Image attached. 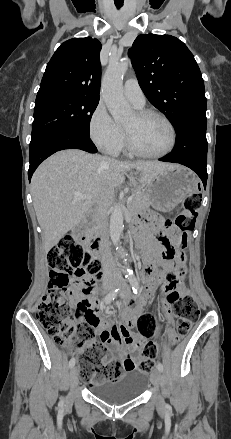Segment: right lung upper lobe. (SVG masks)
Masks as SVG:
<instances>
[{
	"label": "right lung upper lobe",
	"instance_id": "right-lung-upper-lobe-1",
	"mask_svg": "<svg viewBox=\"0 0 231 439\" xmlns=\"http://www.w3.org/2000/svg\"><path fill=\"white\" fill-rule=\"evenodd\" d=\"M101 43L91 37L62 43L47 64L36 100L54 95L99 99Z\"/></svg>",
	"mask_w": 231,
	"mask_h": 439
}]
</instances>
